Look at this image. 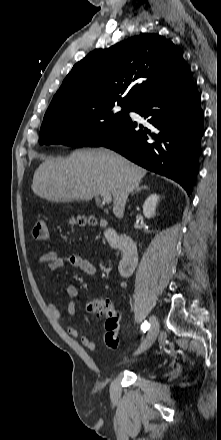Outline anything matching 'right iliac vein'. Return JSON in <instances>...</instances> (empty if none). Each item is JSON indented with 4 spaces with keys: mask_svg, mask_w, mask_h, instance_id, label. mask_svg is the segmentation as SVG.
Instances as JSON below:
<instances>
[{
    "mask_svg": "<svg viewBox=\"0 0 221 440\" xmlns=\"http://www.w3.org/2000/svg\"><path fill=\"white\" fill-rule=\"evenodd\" d=\"M150 323L151 327L146 335V338L143 340L142 344L135 352L136 355L141 354L142 352L149 349L157 338L159 332V322L157 318L155 316H151Z\"/></svg>",
    "mask_w": 221,
    "mask_h": 440,
    "instance_id": "1",
    "label": "right iliac vein"
}]
</instances>
